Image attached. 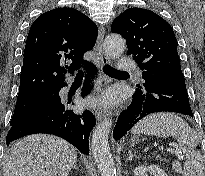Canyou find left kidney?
I'll use <instances>...</instances> for the list:
<instances>
[{
  "label": "left kidney",
  "instance_id": "left-kidney-1",
  "mask_svg": "<svg viewBox=\"0 0 205 176\" xmlns=\"http://www.w3.org/2000/svg\"><path fill=\"white\" fill-rule=\"evenodd\" d=\"M146 172H149L153 176H168L167 173L157 165L146 166H138L134 169L135 176H148Z\"/></svg>",
  "mask_w": 205,
  "mask_h": 176
}]
</instances>
